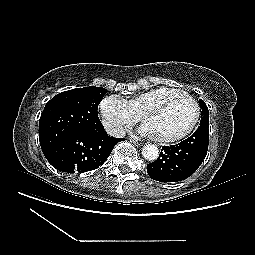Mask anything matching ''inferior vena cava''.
I'll return each instance as SVG.
<instances>
[{"mask_svg":"<svg viewBox=\"0 0 255 255\" xmlns=\"http://www.w3.org/2000/svg\"><path fill=\"white\" fill-rule=\"evenodd\" d=\"M107 133L110 136L117 137V138H123L125 136V130L122 126L118 124H110L107 128Z\"/></svg>","mask_w":255,"mask_h":255,"instance_id":"inferior-vena-cava-1","label":"inferior vena cava"}]
</instances>
